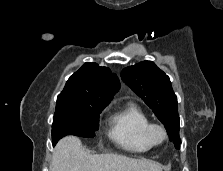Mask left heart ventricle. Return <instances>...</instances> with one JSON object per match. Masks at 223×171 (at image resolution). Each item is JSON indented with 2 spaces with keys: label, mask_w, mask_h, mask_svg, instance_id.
<instances>
[{
  "label": "left heart ventricle",
  "mask_w": 223,
  "mask_h": 171,
  "mask_svg": "<svg viewBox=\"0 0 223 171\" xmlns=\"http://www.w3.org/2000/svg\"><path fill=\"white\" fill-rule=\"evenodd\" d=\"M155 136H156L157 138H159V137H160V133H159V132H156V133H155Z\"/></svg>",
  "instance_id": "left-heart-ventricle-1"
}]
</instances>
